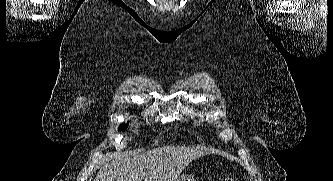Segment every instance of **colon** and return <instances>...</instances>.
<instances>
[{
    "label": "colon",
    "instance_id": "1",
    "mask_svg": "<svg viewBox=\"0 0 333 181\" xmlns=\"http://www.w3.org/2000/svg\"><path fill=\"white\" fill-rule=\"evenodd\" d=\"M223 181H235V179L232 175H228Z\"/></svg>",
    "mask_w": 333,
    "mask_h": 181
}]
</instances>
